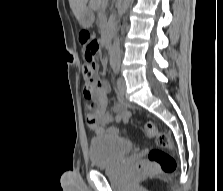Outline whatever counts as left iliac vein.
Wrapping results in <instances>:
<instances>
[{"mask_svg":"<svg viewBox=\"0 0 223 191\" xmlns=\"http://www.w3.org/2000/svg\"><path fill=\"white\" fill-rule=\"evenodd\" d=\"M117 85H118V92L121 96H123L126 92V84H125V79L123 77H120L118 79V82H117Z\"/></svg>","mask_w":223,"mask_h":191,"instance_id":"left-iliac-vein-1","label":"left iliac vein"}]
</instances>
